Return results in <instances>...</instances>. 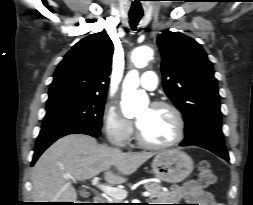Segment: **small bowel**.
<instances>
[{"label": "small bowel", "mask_w": 253, "mask_h": 205, "mask_svg": "<svg viewBox=\"0 0 253 205\" xmlns=\"http://www.w3.org/2000/svg\"><path fill=\"white\" fill-rule=\"evenodd\" d=\"M175 200L194 202L191 205H223L218 203L211 193L201 188L195 181H188L184 186L176 189L173 195Z\"/></svg>", "instance_id": "c3829d8e"}]
</instances>
